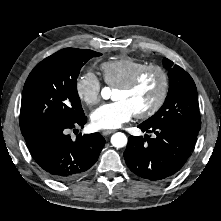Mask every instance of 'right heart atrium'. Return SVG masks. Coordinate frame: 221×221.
<instances>
[{"label":"right heart atrium","mask_w":221,"mask_h":221,"mask_svg":"<svg viewBox=\"0 0 221 221\" xmlns=\"http://www.w3.org/2000/svg\"><path fill=\"white\" fill-rule=\"evenodd\" d=\"M78 98L88 106H93L100 101L102 84L99 77L92 71L79 75L75 82Z\"/></svg>","instance_id":"1"}]
</instances>
